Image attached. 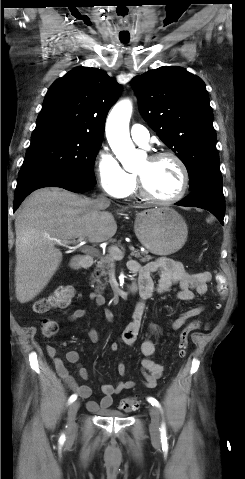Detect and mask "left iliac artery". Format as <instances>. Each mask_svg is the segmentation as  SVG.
I'll use <instances>...</instances> for the list:
<instances>
[{
  "label": "left iliac artery",
  "mask_w": 245,
  "mask_h": 479,
  "mask_svg": "<svg viewBox=\"0 0 245 479\" xmlns=\"http://www.w3.org/2000/svg\"><path fill=\"white\" fill-rule=\"evenodd\" d=\"M147 400H148L149 403H151L152 406L161 408L159 402L155 398L149 397ZM160 431H161L162 441H166V439H167V437H166V427H165L164 423H162Z\"/></svg>",
  "instance_id": "1"
}]
</instances>
